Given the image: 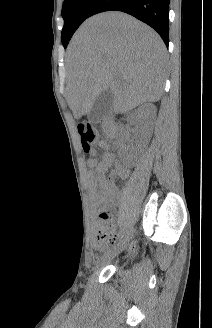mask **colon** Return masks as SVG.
<instances>
[{
	"label": "colon",
	"instance_id": "colon-1",
	"mask_svg": "<svg viewBox=\"0 0 212 328\" xmlns=\"http://www.w3.org/2000/svg\"><path fill=\"white\" fill-rule=\"evenodd\" d=\"M78 132L81 137L83 151L85 153H91L98 140L97 131L91 124L82 122L78 125ZM100 218L103 223L97 230L95 242L98 248L105 249L114 243L116 236L109 225V212H102Z\"/></svg>",
	"mask_w": 212,
	"mask_h": 328
}]
</instances>
